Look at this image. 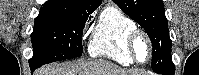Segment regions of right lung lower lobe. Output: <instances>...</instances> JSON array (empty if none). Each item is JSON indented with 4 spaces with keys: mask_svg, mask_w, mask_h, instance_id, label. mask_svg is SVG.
I'll use <instances>...</instances> for the list:
<instances>
[{
    "mask_svg": "<svg viewBox=\"0 0 199 75\" xmlns=\"http://www.w3.org/2000/svg\"><path fill=\"white\" fill-rule=\"evenodd\" d=\"M31 72H33L36 68L30 66Z\"/></svg>",
    "mask_w": 199,
    "mask_h": 75,
    "instance_id": "right-lung-lower-lobe-1",
    "label": "right lung lower lobe"
}]
</instances>
